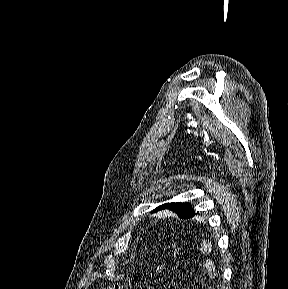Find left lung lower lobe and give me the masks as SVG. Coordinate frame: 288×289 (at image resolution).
<instances>
[{
    "label": "left lung lower lobe",
    "instance_id": "0a47b994",
    "mask_svg": "<svg viewBox=\"0 0 288 289\" xmlns=\"http://www.w3.org/2000/svg\"><path fill=\"white\" fill-rule=\"evenodd\" d=\"M195 215V212H193L188 218H191V217H193ZM187 218V219H188Z\"/></svg>",
    "mask_w": 288,
    "mask_h": 289
}]
</instances>
